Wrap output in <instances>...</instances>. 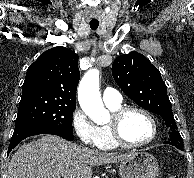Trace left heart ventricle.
I'll return each instance as SVG.
<instances>
[{
  "label": "left heart ventricle",
  "mask_w": 194,
  "mask_h": 178,
  "mask_svg": "<svg viewBox=\"0 0 194 178\" xmlns=\"http://www.w3.org/2000/svg\"><path fill=\"white\" fill-rule=\"evenodd\" d=\"M123 136L132 143H142L150 139L152 125L142 113L132 111L123 120Z\"/></svg>",
  "instance_id": "b2bd125f"
}]
</instances>
